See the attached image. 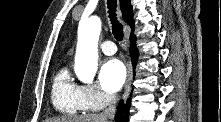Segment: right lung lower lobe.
Here are the masks:
<instances>
[{"label": "right lung lower lobe", "mask_w": 221, "mask_h": 122, "mask_svg": "<svg viewBox=\"0 0 221 122\" xmlns=\"http://www.w3.org/2000/svg\"><path fill=\"white\" fill-rule=\"evenodd\" d=\"M135 40H136V37L134 36L133 32H131V35H130V41H131L130 53H131L133 68H135V64H136V61H137V50H136V47H135ZM130 102H131L130 98L127 100V103L125 105H124L123 101L120 102V104L118 105L117 113L115 115V121L116 122H128Z\"/></svg>", "instance_id": "1"}]
</instances>
